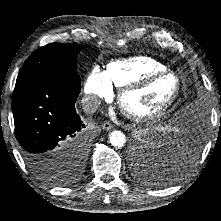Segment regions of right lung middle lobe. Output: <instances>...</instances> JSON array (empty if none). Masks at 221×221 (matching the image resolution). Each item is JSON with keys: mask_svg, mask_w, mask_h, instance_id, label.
Instances as JSON below:
<instances>
[{"mask_svg": "<svg viewBox=\"0 0 221 221\" xmlns=\"http://www.w3.org/2000/svg\"><path fill=\"white\" fill-rule=\"evenodd\" d=\"M79 52L80 48L77 45L60 43H51L37 49L25 61L16 80L14 93L21 92L31 84L42 80L71 79L79 82L80 78L76 74L77 54ZM83 160L77 164L79 165L78 168L83 165ZM40 177L44 181L56 185L67 184L72 180L55 171L45 173Z\"/></svg>", "mask_w": 221, "mask_h": 221, "instance_id": "1", "label": "right lung middle lobe"}]
</instances>
